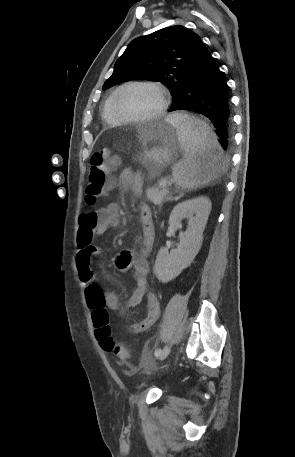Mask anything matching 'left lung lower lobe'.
Returning a JSON list of instances; mask_svg holds the SVG:
<instances>
[{"label":"left lung lower lobe","mask_w":295,"mask_h":457,"mask_svg":"<svg viewBox=\"0 0 295 457\" xmlns=\"http://www.w3.org/2000/svg\"><path fill=\"white\" fill-rule=\"evenodd\" d=\"M191 110L210 119L217 141L226 150L231 142V115L222 72L204 43L185 72L184 84L169 111Z\"/></svg>","instance_id":"obj_1"}]
</instances>
